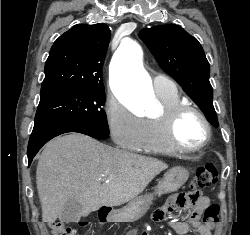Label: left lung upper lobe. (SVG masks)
<instances>
[{
	"mask_svg": "<svg viewBox=\"0 0 250 235\" xmlns=\"http://www.w3.org/2000/svg\"><path fill=\"white\" fill-rule=\"evenodd\" d=\"M139 37L160 67L179 83L217 127L213 89L209 82L210 67L198 40L175 24L142 29Z\"/></svg>",
	"mask_w": 250,
	"mask_h": 235,
	"instance_id": "5c2ea615",
	"label": "left lung upper lobe"
}]
</instances>
